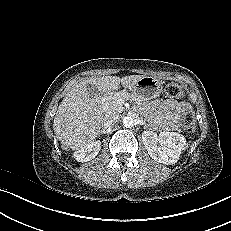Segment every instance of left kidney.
<instances>
[{"label":"left kidney","mask_w":231,"mask_h":231,"mask_svg":"<svg viewBox=\"0 0 231 231\" xmlns=\"http://www.w3.org/2000/svg\"><path fill=\"white\" fill-rule=\"evenodd\" d=\"M142 139L151 158L163 164L176 163L186 145L185 137L176 132L144 131Z\"/></svg>","instance_id":"1"}]
</instances>
